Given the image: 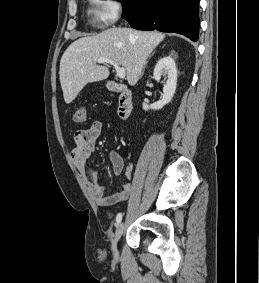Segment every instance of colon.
<instances>
[{
	"label": "colon",
	"mask_w": 259,
	"mask_h": 283,
	"mask_svg": "<svg viewBox=\"0 0 259 283\" xmlns=\"http://www.w3.org/2000/svg\"><path fill=\"white\" fill-rule=\"evenodd\" d=\"M74 120L77 123H84L87 121V113H86V109L84 106H78L75 109Z\"/></svg>",
	"instance_id": "1"
}]
</instances>
